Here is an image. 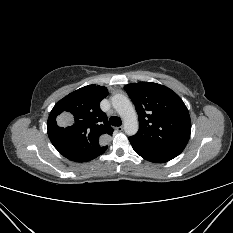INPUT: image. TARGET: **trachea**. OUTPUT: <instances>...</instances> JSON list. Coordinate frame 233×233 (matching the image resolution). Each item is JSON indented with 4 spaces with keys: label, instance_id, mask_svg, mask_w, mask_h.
<instances>
[{
    "label": "trachea",
    "instance_id": "obj_1",
    "mask_svg": "<svg viewBox=\"0 0 233 233\" xmlns=\"http://www.w3.org/2000/svg\"><path fill=\"white\" fill-rule=\"evenodd\" d=\"M109 122L113 126H121V124H122L121 119L117 116L110 117Z\"/></svg>",
    "mask_w": 233,
    "mask_h": 233
}]
</instances>
